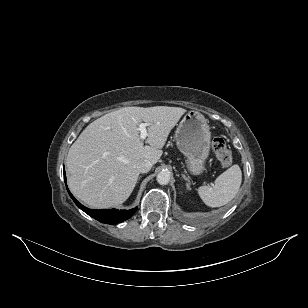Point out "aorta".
Segmentation results:
<instances>
[{"instance_id":"aorta-1","label":"aorta","mask_w":308,"mask_h":308,"mask_svg":"<svg viewBox=\"0 0 308 308\" xmlns=\"http://www.w3.org/2000/svg\"><path fill=\"white\" fill-rule=\"evenodd\" d=\"M156 179L160 185H167L170 182V173L167 171H161L158 173Z\"/></svg>"}]
</instances>
